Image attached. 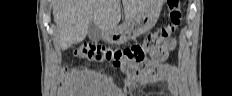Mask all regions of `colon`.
<instances>
[{
	"mask_svg": "<svg viewBox=\"0 0 232 96\" xmlns=\"http://www.w3.org/2000/svg\"><path fill=\"white\" fill-rule=\"evenodd\" d=\"M181 15L180 1L168 0L169 21L157 31L149 34L143 45L119 49L84 43L76 49L75 55L90 61L122 65L132 76L151 71L159 72L160 65L150 62L146 58V54L150 51L153 59L157 62L167 57L169 50L165 48V44L170 41L171 35L180 24Z\"/></svg>",
	"mask_w": 232,
	"mask_h": 96,
	"instance_id": "1",
	"label": "colon"
}]
</instances>
